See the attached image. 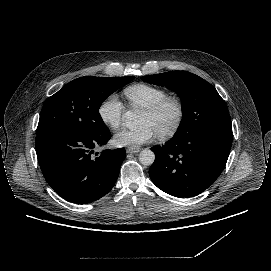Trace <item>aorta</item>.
<instances>
[{
  "instance_id": "762f6f07",
  "label": "aorta",
  "mask_w": 271,
  "mask_h": 271,
  "mask_svg": "<svg viewBox=\"0 0 271 271\" xmlns=\"http://www.w3.org/2000/svg\"><path fill=\"white\" fill-rule=\"evenodd\" d=\"M125 124L129 129H134L137 127L141 121L140 114L133 112V111H127L124 114ZM155 160V154L153 151L149 149H144L139 154V161L144 166H150L154 163Z\"/></svg>"
}]
</instances>
